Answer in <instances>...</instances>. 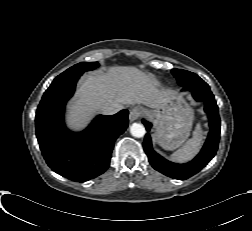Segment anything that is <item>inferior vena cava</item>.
Segmentation results:
<instances>
[{
  "label": "inferior vena cava",
  "instance_id": "inferior-vena-cava-1",
  "mask_svg": "<svg viewBox=\"0 0 252 231\" xmlns=\"http://www.w3.org/2000/svg\"><path fill=\"white\" fill-rule=\"evenodd\" d=\"M122 109V106L119 104L102 106L100 112L104 115H113L119 112Z\"/></svg>",
  "mask_w": 252,
  "mask_h": 231
}]
</instances>
